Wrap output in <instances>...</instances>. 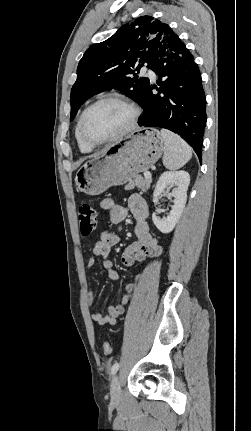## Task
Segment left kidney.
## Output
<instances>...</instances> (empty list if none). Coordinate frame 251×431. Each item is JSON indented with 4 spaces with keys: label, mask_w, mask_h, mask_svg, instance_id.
<instances>
[{
    "label": "left kidney",
    "mask_w": 251,
    "mask_h": 431,
    "mask_svg": "<svg viewBox=\"0 0 251 431\" xmlns=\"http://www.w3.org/2000/svg\"><path fill=\"white\" fill-rule=\"evenodd\" d=\"M189 183L190 176L186 171H166L157 181L153 193L154 203H158L159 198L163 193H167L170 197H174V204L166 218L160 219L156 216V213H153L152 215L153 223L162 233H170L178 222L187 201ZM172 187H174L172 192H169V188Z\"/></svg>",
    "instance_id": "5707ae66"
}]
</instances>
